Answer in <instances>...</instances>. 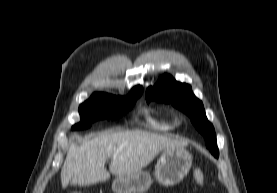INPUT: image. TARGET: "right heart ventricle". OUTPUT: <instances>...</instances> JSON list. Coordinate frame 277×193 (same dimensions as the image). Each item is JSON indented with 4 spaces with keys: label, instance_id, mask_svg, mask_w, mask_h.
Returning <instances> with one entry per match:
<instances>
[{
    "label": "right heart ventricle",
    "instance_id": "obj_1",
    "mask_svg": "<svg viewBox=\"0 0 277 193\" xmlns=\"http://www.w3.org/2000/svg\"><path fill=\"white\" fill-rule=\"evenodd\" d=\"M146 126L156 132H168L172 131L176 127V123L173 118L167 112L149 107L143 110Z\"/></svg>",
    "mask_w": 277,
    "mask_h": 193
}]
</instances>
